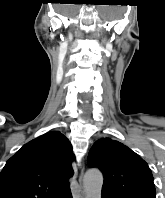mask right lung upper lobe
<instances>
[{"label": "right lung upper lobe", "instance_id": "cb5924a9", "mask_svg": "<svg viewBox=\"0 0 165 198\" xmlns=\"http://www.w3.org/2000/svg\"><path fill=\"white\" fill-rule=\"evenodd\" d=\"M74 158L70 142L59 131L31 140L0 173V198H67Z\"/></svg>", "mask_w": 165, "mask_h": 198}]
</instances>
